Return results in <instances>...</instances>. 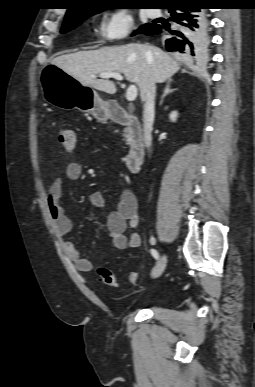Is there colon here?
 <instances>
[{"label":"colon","mask_w":255,"mask_h":387,"mask_svg":"<svg viewBox=\"0 0 255 387\" xmlns=\"http://www.w3.org/2000/svg\"><path fill=\"white\" fill-rule=\"evenodd\" d=\"M58 140H59L60 146L62 147V149L65 152L70 153L75 149L77 138H76V134L73 130L68 129V128H62L59 131ZM98 276H99V280L103 284L110 286V287L116 286L115 275L107 267H105V266L99 267L98 268ZM127 281L130 284L135 285L138 281V274L135 272H130L127 276Z\"/></svg>","instance_id":"5ec220e1"}]
</instances>
